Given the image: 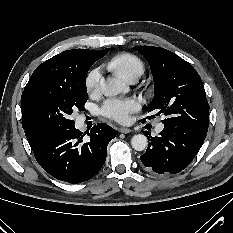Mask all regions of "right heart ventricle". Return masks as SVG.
I'll list each match as a JSON object with an SVG mask.
<instances>
[{
	"label": "right heart ventricle",
	"mask_w": 233,
	"mask_h": 233,
	"mask_svg": "<svg viewBox=\"0 0 233 233\" xmlns=\"http://www.w3.org/2000/svg\"><path fill=\"white\" fill-rule=\"evenodd\" d=\"M107 67L126 80L134 75H141L144 71L142 61L137 56L126 52L113 56Z\"/></svg>",
	"instance_id": "1"
}]
</instances>
